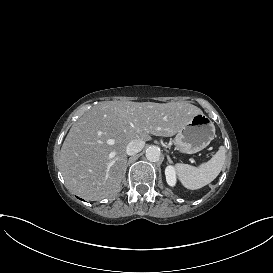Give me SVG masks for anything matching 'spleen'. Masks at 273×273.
<instances>
[{
  "label": "spleen",
  "mask_w": 273,
  "mask_h": 273,
  "mask_svg": "<svg viewBox=\"0 0 273 273\" xmlns=\"http://www.w3.org/2000/svg\"><path fill=\"white\" fill-rule=\"evenodd\" d=\"M225 162V148L220 146L217 153L199 167L188 164H176L178 176L182 184L191 190H196L211 183L220 173Z\"/></svg>",
  "instance_id": "1"
}]
</instances>
